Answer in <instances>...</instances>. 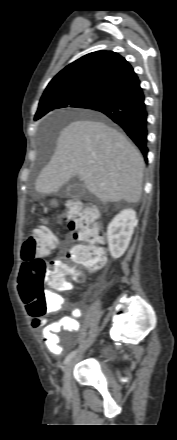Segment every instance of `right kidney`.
Instances as JSON below:
<instances>
[{
  "instance_id": "right-kidney-1",
  "label": "right kidney",
  "mask_w": 177,
  "mask_h": 440,
  "mask_svg": "<svg viewBox=\"0 0 177 440\" xmlns=\"http://www.w3.org/2000/svg\"><path fill=\"white\" fill-rule=\"evenodd\" d=\"M137 222L136 212L132 209H125L116 215L108 225V246L114 259L121 257L128 248Z\"/></svg>"
}]
</instances>
